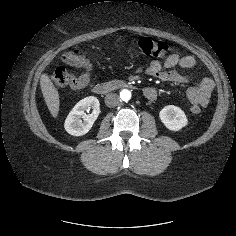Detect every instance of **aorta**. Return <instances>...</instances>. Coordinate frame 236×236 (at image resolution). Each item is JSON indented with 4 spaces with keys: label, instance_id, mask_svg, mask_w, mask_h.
Masks as SVG:
<instances>
[{
    "label": "aorta",
    "instance_id": "aorta-1",
    "mask_svg": "<svg viewBox=\"0 0 236 236\" xmlns=\"http://www.w3.org/2000/svg\"><path fill=\"white\" fill-rule=\"evenodd\" d=\"M120 98L123 101H129L131 99V92L128 89H123L120 92Z\"/></svg>",
    "mask_w": 236,
    "mask_h": 236
}]
</instances>
